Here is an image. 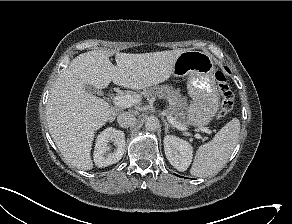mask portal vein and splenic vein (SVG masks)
Wrapping results in <instances>:
<instances>
[{"label": "portal vein and splenic vein", "mask_w": 292, "mask_h": 224, "mask_svg": "<svg viewBox=\"0 0 292 224\" xmlns=\"http://www.w3.org/2000/svg\"><path fill=\"white\" fill-rule=\"evenodd\" d=\"M141 101L139 95H120L113 97V104L115 106L121 107V108H130L134 106L135 104H138ZM167 120L177 129L179 130H185V127L177 122L175 118H173L171 115H167ZM201 131L210 134L211 130L207 128H201ZM196 138L200 139L201 136L199 134L195 135Z\"/></svg>", "instance_id": "portal-vein-and-splenic-vein-1"}]
</instances>
